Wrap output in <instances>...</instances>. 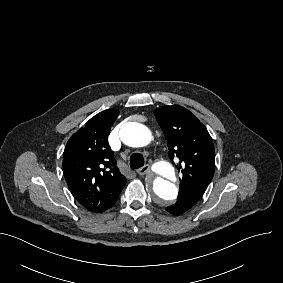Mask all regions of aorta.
I'll return each mask as SVG.
<instances>
[{
  "instance_id": "aorta-1",
  "label": "aorta",
  "mask_w": 283,
  "mask_h": 283,
  "mask_svg": "<svg viewBox=\"0 0 283 283\" xmlns=\"http://www.w3.org/2000/svg\"><path fill=\"white\" fill-rule=\"evenodd\" d=\"M122 142L130 147L147 146L151 139V131L137 122L125 123L119 132ZM157 177L152 182V191L159 202L173 201L178 196V188L172 182L175 180L174 168L169 162L160 161L154 166Z\"/></svg>"
}]
</instances>
